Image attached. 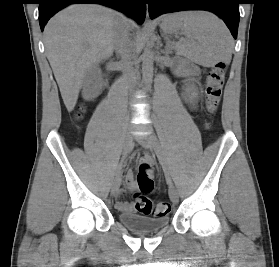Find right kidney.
<instances>
[{
    "mask_svg": "<svg viewBox=\"0 0 279 267\" xmlns=\"http://www.w3.org/2000/svg\"><path fill=\"white\" fill-rule=\"evenodd\" d=\"M100 78H98V74L94 73L92 76L88 77L85 80V88H84V94L83 97L85 99H90L92 97L93 92L100 87Z\"/></svg>",
    "mask_w": 279,
    "mask_h": 267,
    "instance_id": "ca27d5eb",
    "label": "right kidney"
}]
</instances>
